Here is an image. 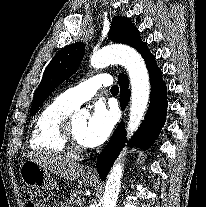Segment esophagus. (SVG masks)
<instances>
[{"label": "esophagus", "instance_id": "esophagus-1", "mask_svg": "<svg viewBox=\"0 0 206 207\" xmlns=\"http://www.w3.org/2000/svg\"><path fill=\"white\" fill-rule=\"evenodd\" d=\"M87 172H88L89 175H92V176H94V177L97 176V170H96L95 167H91V168H89V169L87 170Z\"/></svg>", "mask_w": 206, "mask_h": 207}]
</instances>
